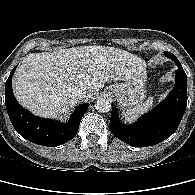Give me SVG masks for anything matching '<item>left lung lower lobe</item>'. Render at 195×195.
Wrapping results in <instances>:
<instances>
[{
	"label": "left lung lower lobe",
	"instance_id": "1",
	"mask_svg": "<svg viewBox=\"0 0 195 195\" xmlns=\"http://www.w3.org/2000/svg\"><path fill=\"white\" fill-rule=\"evenodd\" d=\"M175 86L165 101L129 126L119 121L118 112L112 109L110 132L134 147L156 145L170 137L179 126L187 107V75L175 59Z\"/></svg>",
	"mask_w": 195,
	"mask_h": 195
}]
</instances>
